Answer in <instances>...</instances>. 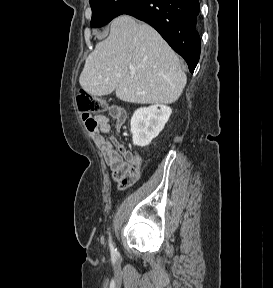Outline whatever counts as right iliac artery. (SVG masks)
<instances>
[{
  "instance_id": "82829eb1",
  "label": "right iliac artery",
  "mask_w": 273,
  "mask_h": 288,
  "mask_svg": "<svg viewBox=\"0 0 273 288\" xmlns=\"http://www.w3.org/2000/svg\"><path fill=\"white\" fill-rule=\"evenodd\" d=\"M109 241H110V250H111V253H112L113 255H115V254H116V249L114 248V246H113V244H112L111 237H110Z\"/></svg>"
}]
</instances>
